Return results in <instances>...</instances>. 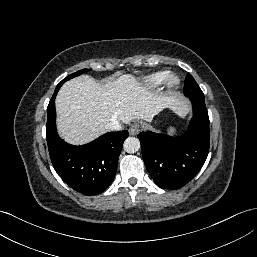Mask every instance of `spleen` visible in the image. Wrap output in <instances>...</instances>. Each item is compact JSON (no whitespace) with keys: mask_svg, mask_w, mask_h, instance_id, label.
<instances>
[{"mask_svg":"<svg viewBox=\"0 0 257 257\" xmlns=\"http://www.w3.org/2000/svg\"><path fill=\"white\" fill-rule=\"evenodd\" d=\"M168 132H169L170 134H175V133H176V129H175L174 127H170V128L168 129Z\"/></svg>","mask_w":257,"mask_h":257,"instance_id":"3e777b00","label":"spleen"}]
</instances>
